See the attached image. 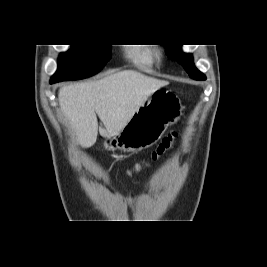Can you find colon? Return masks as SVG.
Masks as SVG:
<instances>
[{
  "label": "colon",
  "instance_id": "colon-1",
  "mask_svg": "<svg viewBox=\"0 0 267 267\" xmlns=\"http://www.w3.org/2000/svg\"><path fill=\"white\" fill-rule=\"evenodd\" d=\"M177 138V133L172 132L166 135L161 142L156 146V148L151 153V159L153 161L159 159L161 156H163L167 151H169L175 140ZM141 165H137L136 169H140ZM125 173H128V170H125ZM128 178H135V173H128Z\"/></svg>",
  "mask_w": 267,
  "mask_h": 267
}]
</instances>
